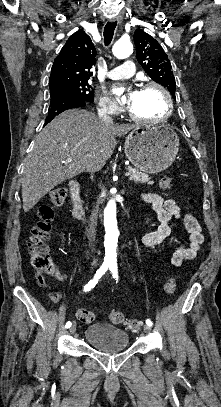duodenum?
Segmentation results:
<instances>
[{
    "label": "duodenum",
    "instance_id": "410a0bca",
    "mask_svg": "<svg viewBox=\"0 0 221 407\" xmlns=\"http://www.w3.org/2000/svg\"><path fill=\"white\" fill-rule=\"evenodd\" d=\"M72 202V215L75 219L84 220L87 217V212L84 208V202L81 195V185L73 183L69 187Z\"/></svg>",
    "mask_w": 221,
    "mask_h": 407
}]
</instances>
